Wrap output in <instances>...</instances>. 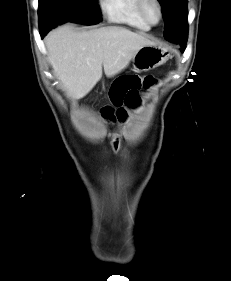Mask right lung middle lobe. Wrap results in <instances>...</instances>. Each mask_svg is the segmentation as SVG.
Segmentation results:
<instances>
[{"label": "right lung middle lobe", "instance_id": "1", "mask_svg": "<svg viewBox=\"0 0 231 281\" xmlns=\"http://www.w3.org/2000/svg\"><path fill=\"white\" fill-rule=\"evenodd\" d=\"M40 25L76 22L96 24L101 21L100 9L96 0H39Z\"/></svg>", "mask_w": 231, "mask_h": 281}]
</instances>
